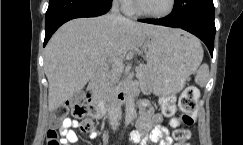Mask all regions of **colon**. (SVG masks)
Masks as SVG:
<instances>
[{"label": "colon", "instance_id": "colon-1", "mask_svg": "<svg viewBox=\"0 0 243 145\" xmlns=\"http://www.w3.org/2000/svg\"><path fill=\"white\" fill-rule=\"evenodd\" d=\"M198 98L199 91L194 86L187 87L180 96L179 108L182 115L172 120V126L175 127L173 136L176 140V145H189L188 139L190 138V132L185 126H189L194 122ZM160 104L165 116L172 117L175 114L176 106L173 96L163 97ZM69 113L77 118L84 116L85 108L77 98H71L54 111L53 125L47 132V145H61L55 126L58 122L68 118ZM91 127L92 125L89 122L83 121L81 129L83 131H89Z\"/></svg>", "mask_w": 243, "mask_h": 145}]
</instances>
